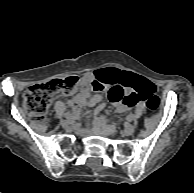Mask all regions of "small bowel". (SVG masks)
I'll return each instance as SVG.
<instances>
[{
    "label": "small bowel",
    "instance_id": "obj_1",
    "mask_svg": "<svg viewBox=\"0 0 194 193\" xmlns=\"http://www.w3.org/2000/svg\"><path fill=\"white\" fill-rule=\"evenodd\" d=\"M122 72L116 68H104L85 73L79 83V92L67 99L75 113H78L84 107H96L94 124L103 129L107 135L112 134L115 130L113 125L107 123V118L99 116L98 113L104 107V98L100 93H97L95 88L101 86L105 80L118 79ZM128 92H137L142 96H147V93L152 92V86L143 78H138V82L134 86L126 87ZM129 110L126 105H118L116 113H123Z\"/></svg>",
    "mask_w": 194,
    "mask_h": 193
}]
</instances>
